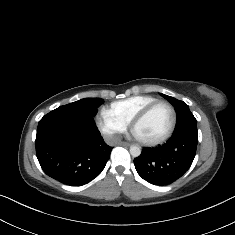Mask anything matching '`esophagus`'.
<instances>
[{"mask_svg": "<svg viewBox=\"0 0 235 235\" xmlns=\"http://www.w3.org/2000/svg\"><path fill=\"white\" fill-rule=\"evenodd\" d=\"M119 145L120 146H130V143L123 141V142H120Z\"/></svg>", "mask_w": 235, "mask_h": 235, "instance_id": "obj_1", "label": "esophagus"}]
</instances>
